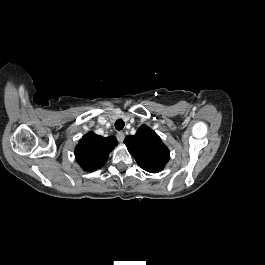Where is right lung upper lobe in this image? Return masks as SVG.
I'll return each mask as SVG.
<instances>
[{"mask_svg": "<svg viewBox=\"0 0 265 265\" xmlns=\"http://www.w3.org/2000/svg\"><path fill=\"white\" fill-rule=\"evenodd\" d=\"M114 136L102 137L94 132L85 134L75 148V158L85 171L99 169L108 159L109 153L117 146Z\"/></svg>", "mask_w": 265, "mask_h": 265, "instance_id": "obj_1", "label": "right lung upper lobe"}]
</instances>
